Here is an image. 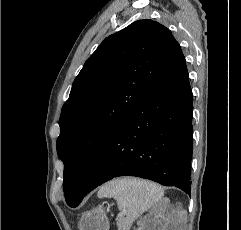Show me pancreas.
<instances>
[{
  "label": "pancreas",
  "instance_id": "pancreas-1",
  "mask_svg": "<svg viewBox=\"0 0 241 230\" xmlns=\"http://www.w3.org/2000/svg\"><path fill=\"white\" fill-rule=\"evenodd\" d=\"M117 226L118 230H129L131 223L128 219H119Z\"/></svg>",
  "mask_w": 241,
  "mask_h": 230
}]
</instances>
